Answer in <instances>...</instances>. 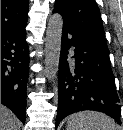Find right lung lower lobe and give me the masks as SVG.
<instances>
[{"label":"right lung lower lobe","mask_w":123,"mask_h":130,"mask_svg":"<svg viewBox=\"0 0 123 130\" xmlns=\"http://www.w3.org/2000/svg\"><path fill=\"white\" fill-rule=\"evenodd\" d=\"M29 50L25 28L1 33V103L25 123Z\"/></svg>","instance_id":"right-lung-lower-lobe-1"}]
</instances>
